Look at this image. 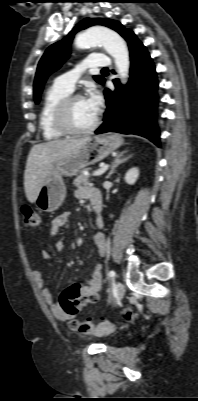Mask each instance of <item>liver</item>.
I'll return each mask as SVG.
<instances>
[{
    "label": "liver",
    "mask_w": 198,
    "mask_h": 401,
    "mask_svg": "<svg viewBox=\"0 0 198 401\" xmlns=\"http://www.w3.org/2000/svg\"><path fill=\"white\" fill-rule=\"evenodd\" d=\"M90 137L53 140L34 145L28 155L24 172L25 194L34 203L54 164L80 148Z\"/></svg>",
    "instance_id": "obj_1"
}]
</instances>
